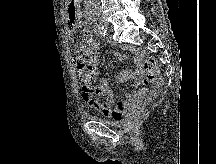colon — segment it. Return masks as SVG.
<instances>
[{
    "label": "colon",
    "instance_id": "obj_1",
    "mask_svg": "<svg viewBox=\"0 0 216 164\" xmlns=\"http://www.w3.org/2000/svg\"><path fill=\"white\" fill-rule=\"evenodd\" d=\"M77 66L79 70L81 71L85 70L87 72L88 83L90 84V82L93 80V77L95 75V68L89 63L84 62L83 60H80ZM144 68L146 71L145 83H148L154 78L155 71H156V60L151 56L147 57L144 62ZM134 84H135L134 80H129L127 82L128 86H133Z\"/></svg>",
    "mask_w": 216,
    "mask_h": 164
}]
</instances>
